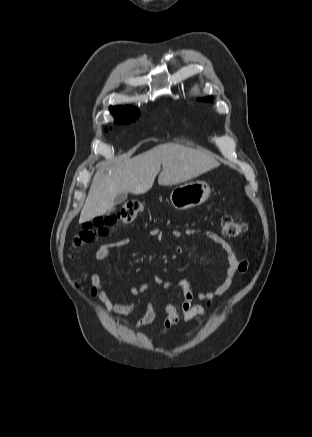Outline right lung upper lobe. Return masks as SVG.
<instances>
[{
  "label": "right lung upper lobe",
  "mask_w": 312,
  "mask_h": 437,
  "mask_svg": "<svg viewBox=\"0 0 312 437\" xmlns=\"http://www.w3.org/2000/svg\"><path fill=\"white\" fill-rule=\"evenodd\" d=\"M110 111L114 115L116 120H124L138 117L140 112L133 109L130 106H115L110 107Z\"/></svg>",
  "instance_id": "1"
}]
</instances>
